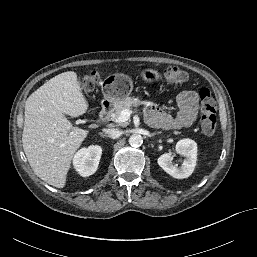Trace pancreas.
<instances>
[{"label": "pancreas", "mask_w": 257, "mask_h": 257, "mask_svg": "<svg viewBox=\"0 0 257 257\" xmlns=\"http://www.w3.org/2000/svg\"><path fill=\"white\" fill-rule=\"evenodd\" d=\"M140 105H144V108H147L146 104L144 101L139 100L138 98L135 97H126L122 101H120L115 107H114V112L112 114V120H116L120 113L125 110V109H132L133 107L137 108ZM150 114H154L152 110H149ZM119 125H125V123H119Z\"/></svg>", "instance_id": "obj_1"}]
</instances>
